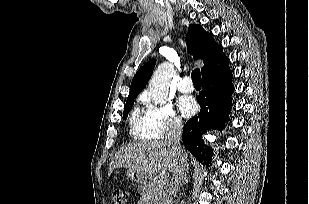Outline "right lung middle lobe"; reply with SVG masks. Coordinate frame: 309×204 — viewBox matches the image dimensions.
<instances>
[{
    "label": "right lung middle lobe",
    "mask_w": 309,
    "mask_h": 204,
    "mask_svg": "<svg viewBox=\"0 0 309 204\" xmlns=\"http://www.w3.org/2000/svg\"><path fill=\"white\" fill-rule=\"evenodd\" d=\"M134 104V99H129L126 101V105L123 111V118L126 119L128 116L129 111L131 110L132 106Z\"/></svg>",
    "instance_id": "1"
}]
</instances>
